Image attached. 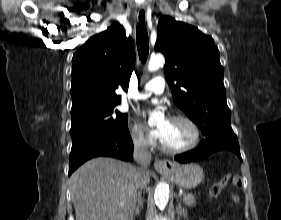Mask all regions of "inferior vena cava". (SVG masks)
Here are the masks:
<instances>
[{
    "instance_id": "inferior-vena-cava-1",
    "label": "inferior vena cava",
    "mask_w": 281,
    "mask_h": 220,
    "mask_svg": "<svg viewBox=\"0 0 281 220\" xmlns=\"http://www.w3.org/2000/svg\"><path fill=\"white\" fill-rule=\"evenodd\" d=\"M134 159L139 164L137 169V185L140 188L146 187L148 183V166L151 162V153L142 140L134 141Z\"/></svg>"
}]
</instances>
